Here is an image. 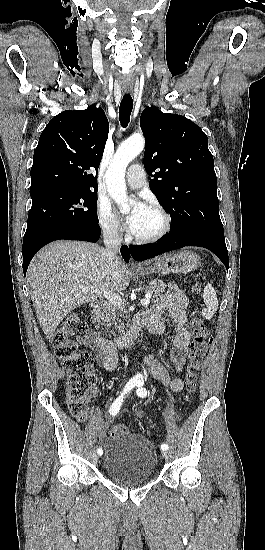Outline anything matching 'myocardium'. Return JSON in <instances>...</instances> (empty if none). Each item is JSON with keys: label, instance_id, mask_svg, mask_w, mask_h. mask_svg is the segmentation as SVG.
Returning <instances> with one entry per match:
<instances>
[{"label": "myocardium", "instance_id": "obj_1", "mask_svg": "<svg viewBox=\"0 0 265 550\" xmlns=\"http://www.w3.org/2000/svg\"><path fill=\"white\" fill-rule=\"evenodd\" d=\"M151 210L158 213L162 218V227L156 233L149 236H138L131 232V237L134 241L140 244H150L159 241L165 237L171 229V217L170 215L158 204H150L148 206Z\"/></svg>", "mask_w": 265, "mask_h": 550}]
</instances>
